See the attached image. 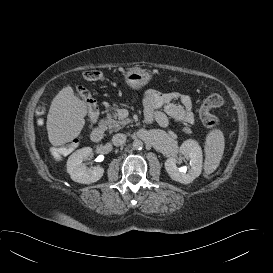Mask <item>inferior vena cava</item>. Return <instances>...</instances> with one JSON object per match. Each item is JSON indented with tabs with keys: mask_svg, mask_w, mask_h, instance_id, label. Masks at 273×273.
<instances>
[{
	"mask_svg": "<svg viewBox=\"0 0 273 273\" xmlns=\"http://www.w3.org/2000/svg\"><path fill=\"white\" fill-rule=\"evenodd\" d=\"M126 142V135L122 133L115 134L112 137V143L114 146H122Z\"/></svg>",
	"mask_w": 273,
	"mask_h": 273,
	"instance_id": "1",
	"label": "inferior vena cava"
}]
</instances>
